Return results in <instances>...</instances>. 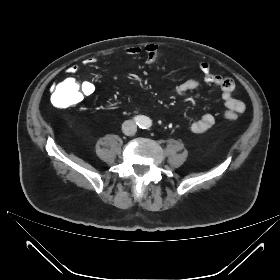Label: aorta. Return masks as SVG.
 I'll return each instance as SVG.
<instances>
[{"instance_id":"obj_1","label":"aorta","mask_w":280,"mask_h":280,"mask_svg":"<svg viewBox=\"0 0 280 280\" xmlns=\"http://www.w3.org/2000/svg\"><path fill=\"white\" fill-rule=\"evenodd\" d=\"M151 124H152V122H151L150 118H148V117H142L141 118L140 125L143 128L150 127Z\"/></svg>"}]
</instances>
